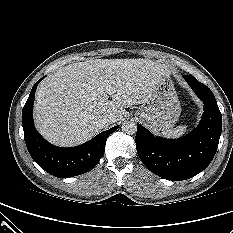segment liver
Instances as JSON below:
<instances>
[{"label": "liver", "mask_w": 233, "mask_h": 233, "mask_svg": "<svg viewBox=\"0 0 233 233\" xmlns=\"http://www.w3.org/2000/svg\"><path fill=\"white\" fill-rule=\"evenodd\" d=\"M169 72L149 59H90L67 65L38 86L34 118L49 142L70 147L98 134L96 119L121 120L134 104H145ZM110 87V90H108ZM111 97L112 100H108Z\"/></svg>", "instance_id": "1"}]
</instances>
